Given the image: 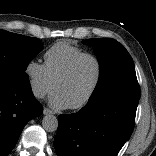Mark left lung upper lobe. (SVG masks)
<instances>
[{
	"instance_id": "1",
	"label": "left lung upper lobe",
	"mask_w": 156,
	"mask_h": 156,
	"mask_svg": "<svg viewBox=\"0 0 156 156\" xmlns=\"http://www.w3.org/2000/svg\"><path fill=\"white\" fill-rule=\"evenodd\" d=\"M93 46L99 59V81L89 101L112 94H124L140 98L133 60L123 45L111 38L84 40Z\"/></svg>"
}]
</instances>
